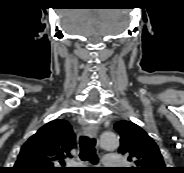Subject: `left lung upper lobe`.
<instances>
[{"label": "left lung upper lobe", "instance_id": "obj_1", "mask_svg": "<svg viewBox=\"0 0 184 173\" xmlns=\"http://www.w3.org/2000/svg\"><path fill=\"white\" fill-rule=\"evenodd\" d=\"M120 134L119 152L125 154L133 167L122 168V173H166L163 157L157 144L138 125L119 121L114 125Z\"/></svg>", "mask_w": 184, "mask_h": 173}]
</instances>
